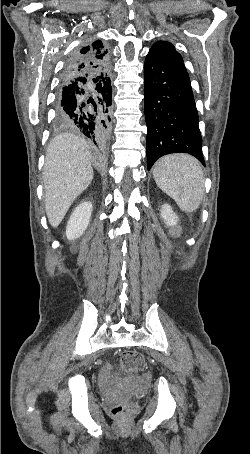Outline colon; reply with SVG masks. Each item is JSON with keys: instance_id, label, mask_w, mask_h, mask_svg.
<instances>
[{"instance_id": "colon-1", "label": "colon", "mask_w": 250, "mask_h": 454, "mask_svg": "<svg viewBox=\"0 0 250 454\" xmlns=\"http://www.w3.org/2000/svg\"><path fill=\"white\" fill-rule=\"evenodd\" d=\"M118 366L126 374H136L145 368V360L139 352L127 350L119 355ZM130 408L131 404L128 401H122L113 405L111 412L116 416H123Z\"/></svg>"}]
</instances>
